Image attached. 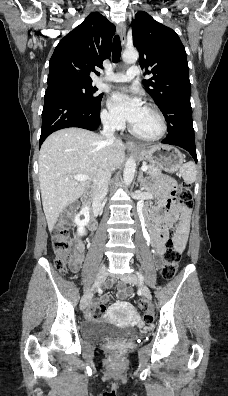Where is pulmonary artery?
Segmentation results:
<instances>
[{"mask_svg":"<svg viewBox=\"0 0 228 396\" xmlns=\"http://www.w3.org/2000/svg\"><path fill=\"white\" fill-rule=\"evenodd\" d=\"M138 75H139L138 67L131 66L126 72L112 74L108 77L103 78V80L110 82H128L133 80Z\"/></svg>","mask_w":228,"mask_h":396,"instance_id":"1","label":"pulmonary artery"}]
</instances>
